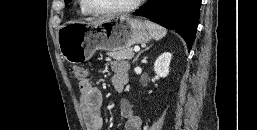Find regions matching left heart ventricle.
<instances>
[{
	"instance_id": "1",
	"label": "left heart ventricle",
	"mask_w": 257,
	"mask_h": 130,
	"mask_svg": "<svg viewBox=\"0 0 257 130\" xmlns=\"http://www.w3.org/2000/svg\"><path fill=\"white\" fill-rule=\"evenodd\" d=\"M133 0H89L96 9H111L123 7L130 4Z\"/></svg>"
}]
</instances>
